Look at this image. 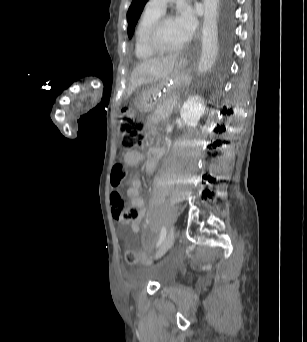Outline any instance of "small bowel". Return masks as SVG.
<instances>
[{"label": "small bowel", "instance_id": "small-bowel-1", "mask_svg": "<svg viewBox=\"0 0 307 342\" xmlns=\"http://www.w3.org/2000/svg\"><path fill=\"white\" fill-rule=\"evenodd\" d=\"M159 156V151L156 149H150L148 153V160L145 168L147 171H152L156 167V160ZM124 159L127 164L135 165L144 160V155L139 151H128L124 154ZM142 182L138 177H132L130 179V188L127 191L130 204L137 212V218L131 223V228L134 232H138L140 229L141 220L145 214L144 200L140 195V189Z\"/></svg>", "mask_w": 307, "mask_h": 342}]
</instances>
